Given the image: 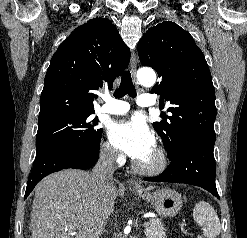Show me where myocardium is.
I'll use <instances>...</instances> for the list:
<instances>
[{
    "label": "myocardium",
    "instance_id": "myocardium-1",
    "mask_svg": "<svg viewBox=\"0 0 247 238\" xmlns=\"http://www.w3.org/2000/svg\"><path fill=\"white\" fill-rule=\"evenodd\" d=\"M153 155H154V161L152 164L150 165H145L139 161L134 163V167L135 169L144 175H158L160 173H162L168 164V159H167V155L166 152L160 148V147H156L153 150Z\"/></svg>",
    "mask_w": 247,
    "mask_h": 238
}]
</instances>
